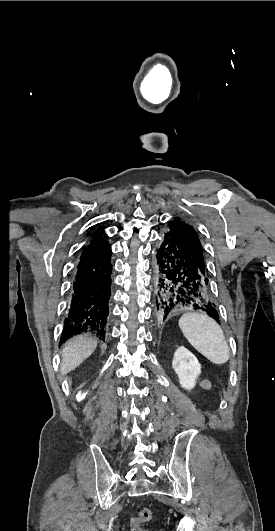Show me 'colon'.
Here are the masks:
<instances>
[{
  "instance_id": "5ec220e1",
  "label": "colon",
  "mask_w": 275,
  "mask_h": 531,
  "mask_svg": "<svg viewBox=\"0 0 275 531\" xmlns=\"http://www.w3.org/2000/svg\"><path fill=\"white\" fill-rule=\"evenodd\" d=\"M151 510L149 508H141L131 521V531H143V524L151 519Z\"/></svg>"
}]
</instances>
